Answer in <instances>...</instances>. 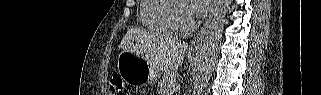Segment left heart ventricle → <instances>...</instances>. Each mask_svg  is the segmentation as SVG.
I'll use <instances>...</instances> for the list:
<instances>
[{"mask_svg": "<svg viewBox=\"0 0 321 95\" xmlns=\"http://www.w3.org/2000/svg\"><path fill=\"white\" fill-rule=\"evenodd\" d=\"M176 16L178 21L182 25H188L190 24L193 17L188 13L187 9L184 6H180L177 9Z\"/></svg>", "mask_w": 321, "mask_h": 95, "instance_id": "obj_1", "label": "left heart ventricle"}]
</instances>
